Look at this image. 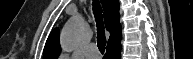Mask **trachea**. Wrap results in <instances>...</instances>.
<instances>
[{
	"label": "trachea",
	"mask_w": 193,
	"mask_h": 59,
	"mask_svg": "<svg viewBox=\"0 0 193 59\" xmlns=\"http://www.w3.org/2000/svg\"><path fill=\"white\" fill-rule=\"evenodd\" d=\"M93 12H94L95 19L97 22V46H98L99 51L103 54L105 51V46H106V37H105L104 24L102 21V9L97 4L96 8L93 9Z\"/></svg>",
	"instance_id": "obj_1"
}]
</instances>
